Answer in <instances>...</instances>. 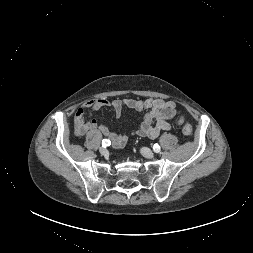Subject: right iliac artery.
<instances>
[{"label": "right iliac artery", "instance_id": "82829eb1", "mask_svg": "<svg viewBox=\"0 0 253 253\" xmlns=\"http://www.w3.org/2000/svg\"><path fill=\"white\" fill-rule=\"evenodd\" d=\"M110 144H111L110 140H108V139H103V140H102V146H103L104 148H106V147L109 146Z\"/></svg>", "mask_w": 253, "mask_h": 253}]
</instances>
